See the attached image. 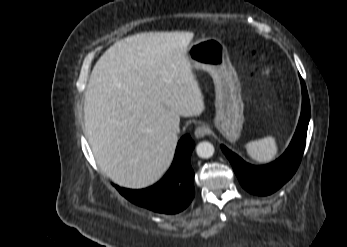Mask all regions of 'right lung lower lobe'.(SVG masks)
<instances>
[{"label": "right lung lower lobe", "mask_w": 347, "mask_h": 247, "mask_svg": "<svg viewBox=\"0 0 347 247\" xmlns=\"http://www.w3.org/2000/svg\"><path fill=\"white\" fill-rule=\"evenodd\" d=\"M195 144L189 135L178 142L171 168L155 185L141 190L115 186L129 201L158 213L175 214L184 210L192 201L194 172L190 156Z\"/></svg>", "instance_id": "1"}]
</instances>
